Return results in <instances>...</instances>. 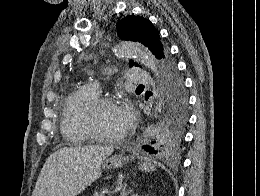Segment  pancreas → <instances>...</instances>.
Listing matches in <instances>:
<instances>
[{
	"label": "pancreas",
	"mask_w": 260,
	"mask_h": 196,
	"mask_svg": "<svg viewBox=\"0 0 260 196\" xmlns=\"http://www.w3.org/2000/svg\"><path fill=\"white\" fill-rule=\"evenodd\" d=\"M105 192H107L106 188H103L102 192H96L94 196H104Z\"/></svg>",
	"instance_id": "pancreas-1"
}]
</instances>
